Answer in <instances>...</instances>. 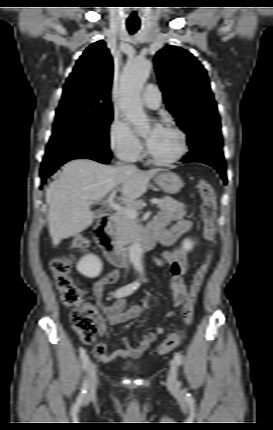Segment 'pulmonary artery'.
<instances>
[{
    "label": "pulmonary artery",
    "instance_id": "pulmonary-artery-1",
    "mask_svg": "<svg viewBox=\"0 0 273 430\" xmlns=\"http://www.w3.org/2000/svg\"><path fill=\"white\" fill-rule=\"evenodd\" d=\"M143 103L149 109H158L161 105V91L155 84H148L144 90Z\"/></svg>",
    "mask_w": 273,
    "mask_h": 430
}]
</instances>
